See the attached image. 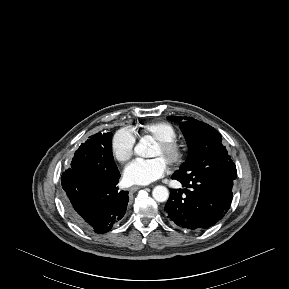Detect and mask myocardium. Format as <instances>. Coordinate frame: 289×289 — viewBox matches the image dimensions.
<instances>
[{
  "label": "myocardium",
  "mask_w": 289,
  "mask_h": 289,
  "mask_svg": "<svg viewBox=\"0 0 289 289\" xmlns=\"http://www.w3.org/2000/svg\"><path fill=\"white\" fill-rule=\"evenodd\" d=\"M154 146L161 152H164L170 156V160L167 165L170 170L177 169L184 162L186 154L185 148L176 139L154 142Z\"/></svg>",
  "instance_id": "f54148a6"
}]
</instances>
